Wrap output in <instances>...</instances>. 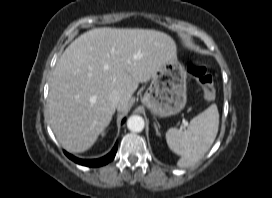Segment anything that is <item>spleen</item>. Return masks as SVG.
Wrapping results in <instances>:
<instances>
[{
  "instance_id": "3e777b00",
  "label": "spleen",
  "mask_w": 272,
  "mask_h": 198,
  "mask_svg": "<svg viewBox=\"0 0 272 198\" xmlns=\"http://www.w3.org/2000/svg\"><path fill=\"white\" fill-rule=\"evenodd\" d=\"M219 127V112L216 104L194 117L184 131L170 128L166 132L169 148L179 155L177 165L189 167L203 158L212 146Z\"/></svg>"
}]
</instances>
